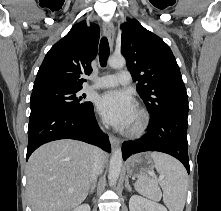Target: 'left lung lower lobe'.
<instances>
[{
	"mask_svg": "<svg viewBox=\"0 0 221 211\" xmlns=\"http://www.w3.org/2000/svg\"><path fill=\"white\" fill-rule=\"evenodd\" d=\"M188 112H168L149 122L148 132L137 141L123 143V159L144 151H159L177 158L189 173L188 142H187Z\"/></svg>",
	"mask_w": 221,
	"mask_h": 211,
	"instance_id": "1",
	"label": "left lung lower lobe"
}]
</instances>
